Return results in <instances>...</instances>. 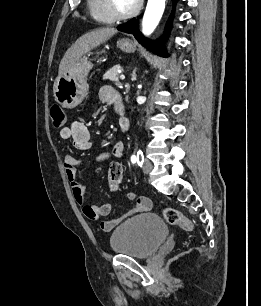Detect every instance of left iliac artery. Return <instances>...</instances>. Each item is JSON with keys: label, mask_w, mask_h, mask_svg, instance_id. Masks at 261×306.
<instances>
[{"label": "left iliac artery", "mask_w": 261, "mask_h": 306, "mask_svg": "<svg viewBox=\"0 0 261 306\" xmlns=\"http://www.w3.org/2000/svg\"><path fill=\"white\" fill-rule=\"evenodd\" d=\"M131 161L132 163H137L139 166H142L144 162L143 152L139 150L137 152V155H132Z\"/></svg>", "instance_id": "left-iliac-artery-1"}]
</instances>
